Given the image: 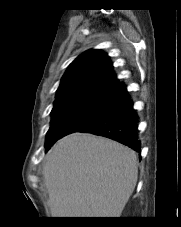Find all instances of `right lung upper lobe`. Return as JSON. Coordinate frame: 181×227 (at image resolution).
I'll use <instances>...</instances> for the list:
<instances>
[{
  "label": "right lung upper lobe",
  "instance_id": "1",
  "mask_svg": "<svg viewBox=\"0 0 181 227\" xmlns=\"http://www.w3.org/2000/svg\"><path fill=\"white\" fill-rule=\"evenodd\" d=\"M119 84L106 54L90 50L68 67L57 90L56 100L96 91H113Z\"/></svg>",
  "mask_w": 181,
  "mask_h": 227
}]
</instances>
